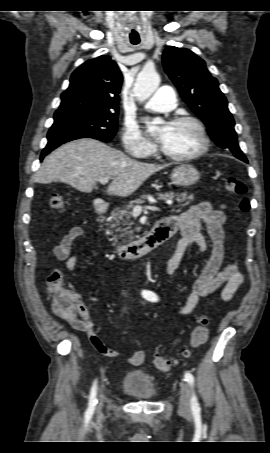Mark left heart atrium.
<instances>
[{
  "label": "left heart atrium",
  "instance_id": "1",
  "mask_svg": "<svg viewBox=\"0 0 270 453\" xmlns=\"http://www.w3.org/2000/svg\"><path fill=\"white\" fill-rule=\"evenodd\" d=\"M169 134V125L162 127L156 134L158 142L162 145Z\"/></svg>",
  "mask_w": 270,
  "mask_h": 453
}]
</instances>
